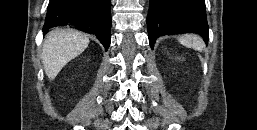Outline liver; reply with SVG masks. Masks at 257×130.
Wrapping results in <instances>:
<instances>
[{
    "label": "liver",
    "mask_w": 257,
    "mask_h": 130,
    "mask_svg": "<svg viewBox=\"0 0 257 130\" xmlns=\"http://www.w3.org/2000/svg\"><path fill=\"white\" fill-rule=\"evenodd\" d=\"M88 44L87 36L76 30L57 29L49 32L45 37L41 55L48 78L53 80L68 62L87 48Z\"/></svg>",
    "instance_id": "liver-1"
}]
</instances>
